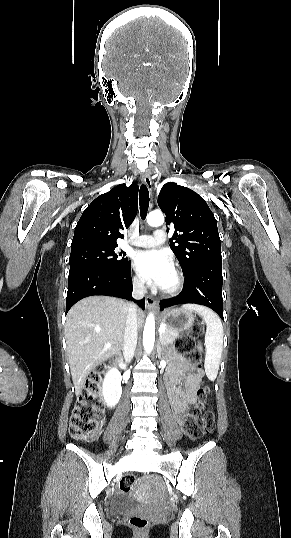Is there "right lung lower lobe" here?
Instances as JSON below:
<instances>
[{
  "label": "right lung lower lobe",
  "mask_w": 291,
  "mask_h": 538,
  "mask_svg": "<svg viewBox=\"0 0 291 538\" xmlns=\"http://www.w3.org/2000/svg\"><path fill=\"white\" fill-rule=\"evenodd\" d=\"M131 279V264L111 269L105 267H80L69 271L66 313L79 300L93 295H105L135 301ZM142 309L145 300L135 301Z\"/></svg>",
  "instance_id": "98d812e1"
}]
</instances>
